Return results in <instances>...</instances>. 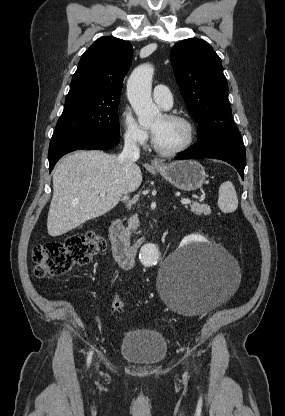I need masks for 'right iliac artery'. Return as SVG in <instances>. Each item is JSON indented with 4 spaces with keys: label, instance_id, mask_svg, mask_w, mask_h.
Returning <instances> with one entry per match:
<instances>
[{
    "label": "right iliac artery",
    "instance_id": "82829eb1",
    "mask_svg": "<svg viewBox=\"0 0 285 416\" xmlns=\"http://www.w3.org/2000/svg\"><path fill=\"white\" fill-rule=\"evenodd\" d=\"M91 356H92V352H90L89 353V355H88V359H87V363H88V365L90 364V362H91Z\"/></svg>",
    "mask_w": 285,
    "mask_h": 416
}]
</instances>
